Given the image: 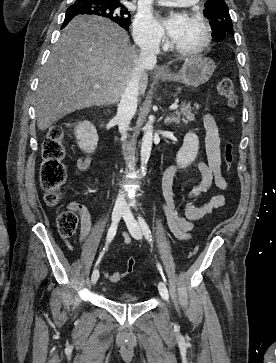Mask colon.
<instances>
[{"label":"colon","mask_w":276,"mask_h":363,"mask_svg":"<svg viewBox=\"0 0 276 363\" xmlns=\"http://www.w3.org/2000/svg\"><path fill=\"white\" fill-rule=\"evenodd\" d=\"M218 93L228 100L230 106L236 105V96L233 83L230 79H222L217 84ZM67 125H71L68 122ZM64 127L57 125L50 129L42 146V164L40 168V184L45 191V201L49 206H55L61 199V187L66 181V169L63 164L65 149L63 145ZM224 163L229 167L233 162V148L227 143L224 149ZM78 227V215L73 209L65 210L58 215L57 229L61 237H71ZM196 254V249L188 252L191 258ZM135 260H127L128 270L134 267Z\"/></svg>","instance_id":"1"}]
</instances>
